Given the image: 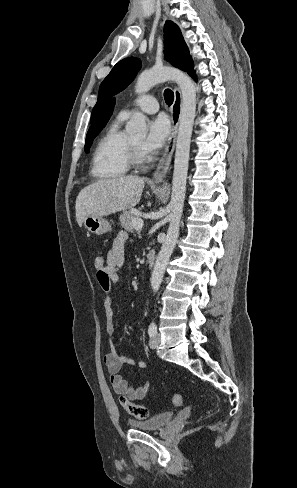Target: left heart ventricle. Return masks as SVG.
I'll return each mask as SVG.
<instances>
[{"label":"left heart ventricle","mask_w":297,"mask_h":488,"mask_svg":"<svg viewBox=\"0 0 297 488\" xmlns=\"http://www.w3.org/2000/svg\"><path fill=\"white\" fill-rule=\"evenodd\" d=\"M143 139L142 138H138V139H134L132 142L134 144H136L137 146H141V143H142Z\"/></svg>","instance_id":"1"}]
</instances>
